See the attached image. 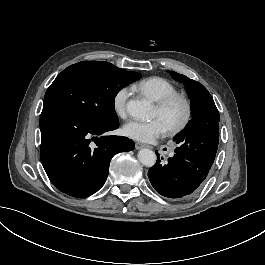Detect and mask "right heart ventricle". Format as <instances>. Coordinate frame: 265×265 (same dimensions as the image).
I'll return each instance as SVG.
<instances>
[{"instance_id":"e07e8e85","label":"right heart ventricle","mask_w":265,"mask_h":265,"mask_svg":"<svg viewBox=\"0 0 265 265\" xmlns=\"http://www.w3.org/2000/svg\"><path fill=\"white\" fill-rule=\"evenodd\" d=\"M131 88L156 103L171 94L177 93L176 87L166 78L160 76L138 79L131 84Z\"/></svg>"}]
</instances>
